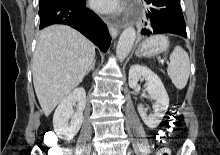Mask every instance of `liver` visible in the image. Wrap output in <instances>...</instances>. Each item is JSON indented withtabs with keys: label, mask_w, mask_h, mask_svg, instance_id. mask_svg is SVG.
<instances>
[{
	"label": "liver",
	"mask_w": 220,
	"mask_h": 155,
	"mask_svg": "<svg viewBox=\"0 0 220 155\" xmlns=\"http://www.w3.org/2000/svg\"><path fill=\"white\" fill-rule=\"evenodd\" d=\"M95 57V46L66 25L40 33L33 56V84L40 106L49 116L83 80Z\"/></svg>",
	"instance_id": "1"
}]
</instances>
